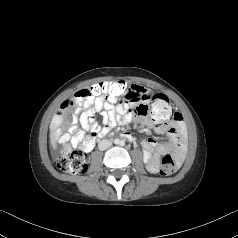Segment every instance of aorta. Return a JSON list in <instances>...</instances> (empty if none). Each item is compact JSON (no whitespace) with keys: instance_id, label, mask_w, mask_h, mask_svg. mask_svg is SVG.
<instances>
[{"instance_id":"obj_1","label":"aorta","mask_w":238,"mask_h":238,"mask_svg":"<svg viewBox=\"0 0 238 238\" xmlns=\"http://www.w3.org/2000/svg\"><path fill=\"white\" fill-rule=\"evenodd\" d=\"M116 143H120V141H119V140H116Z\"/></svg>"}]
</instances>
